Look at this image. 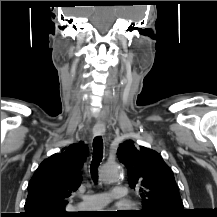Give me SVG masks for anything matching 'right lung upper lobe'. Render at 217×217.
<instances>
[{
    "label": "right lung upper lobe",
    "instance_id": "right-lung-upper-lobe-1",
    "mask_svg": "<svg viewBox=\"0 0 217 217\" xmlns=\"http://www.w3.org/2000/svg\"><path fill=\"white\" fill-rule=\"evenodd\" d=\"M88 153L80 141L44 160L29 182L23 217L73 215L65 207L82 182L80 169Z\"/></svg>",
    "mask_w": 217,
    "mask_h": 217
}]
</instances>
